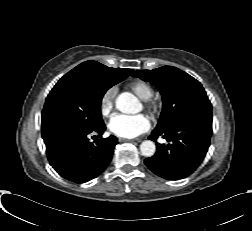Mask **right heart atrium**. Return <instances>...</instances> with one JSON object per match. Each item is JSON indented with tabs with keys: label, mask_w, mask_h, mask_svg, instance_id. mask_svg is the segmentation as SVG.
<instances>
[{
	"label": "right heart atrium",
	"mask_w": 252,
	"mask_h": 231,
	"mask_svg": "<svg viewBox=\"0 0 252 231\" xmlns=\"http://www.w3.org/2000/svg\"><path fill=\"white\" fill-rule=\"evenodd\" d=\"M117 92V86L113 85L108 87L101 95L100 112L102 115L106 116L112 111Z\"/></svg>",
	"instance_id": "right-heart-atrium-1"
}]
</instances>
